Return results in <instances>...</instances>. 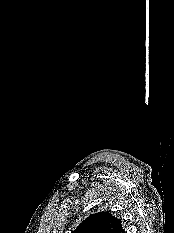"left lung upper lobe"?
I'll list each match as a JSON object with an SVG mask.
<instances>
[{
	"label": "left lung upper lobe",
	"mask_w": 174,
	"mask_h": 233,
	"mask_svg": "<svg viewBox=\"0 0 174 233\" xmlns=\"http://www.w3.org/2000/svg\"><path fill=\"white\" fill-rule=\"evenodd\" d=\"M72 233H125L121 219L109 212L91 214Z\"/></svg>",
	"instance_id": "obj_1"
}]
</instances>
